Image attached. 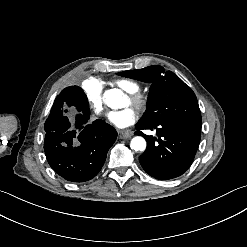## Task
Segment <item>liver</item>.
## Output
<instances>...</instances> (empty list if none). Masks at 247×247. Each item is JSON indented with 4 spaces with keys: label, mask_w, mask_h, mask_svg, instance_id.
<instances>
[{
    "label": "liver",
    "mask_w": 247,
    "mask_h": 247,
    "mask_svg": "<svg viewBox=\"0 0 247 247\" xmlns=\"http://www.w3.org/2000/svg\"><path fill=\"white\" fill-rule=\"evenodd\" d=\"M64 114L68 117L69 121L71 123L75 122V116H76V108L73 106L68 107L67 105L65 106V112Z\"/></svg>",
    "instance_id": "6515ba94"
}]
</instances>
